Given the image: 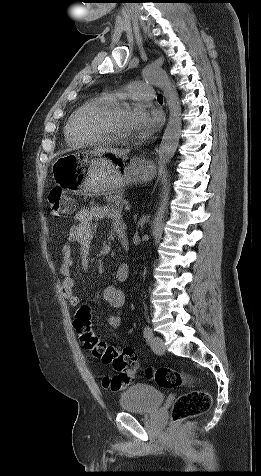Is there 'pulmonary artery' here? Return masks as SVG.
<instances>
[{"mask_svg": "<svg viewBox=\"0 0 261 476\" xmlns=\"http://www.w3.org/2000/svg\"><path fill=\"white\" fill-rule=\"evenodd\" d=\"M116 95L120 97H131L136 100H152L154 98L152 86L141 81H134L128 84L122 91L116 93Z\"/></svg>", "mask_w": 261, "mask_h": 476, "instance_id": "pulmonary-artery-1", "label": "pulmonary artery"}]
</instances>
